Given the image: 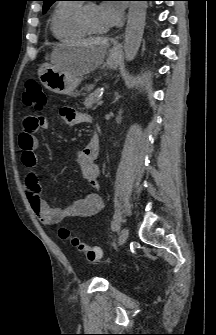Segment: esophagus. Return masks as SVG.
<instances>
[{"label":"esophagus","mask_w":216,"mask_h":335,"mask_svg":"<svg viewBox=\"0 0 216 335\" xmlns=\"http://www.w3.org/2000/svg\"><path fill=\"white\" fill-rule=\"evenodd\" d=\"M120 47H121V45H120V44H117V45L114 47V49L117 50V49H119Z\"/></svg>","instance_id":"obj_1"}]
</instances>
